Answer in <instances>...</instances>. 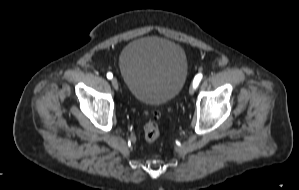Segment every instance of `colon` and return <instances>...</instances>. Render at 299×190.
<instances>
[{
	"instance_id": "1",
	"label": "colon",
	"mask_w": 299,
	"mask_h": 190,
	"mask_svg": "<svg viewBox=\"0 0 299 190\" xmlns=\"http://www.w3.org/2000/svg\"><path fill=\"white\" fill-rule=\"evenodd\" d=\"M159 114L154 113V119L150 120L144 127V138L147 142L152 143L156 141L160 135L159 126L156 122Z\"/></svg>"
}]
</instances>
